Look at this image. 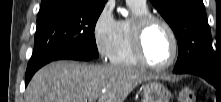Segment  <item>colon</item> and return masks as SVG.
Wrapping results in <instances>:
<instances>
[{
  "instance_id": "colon-1",
  "label": "colon",
  "mask_w": 221,
  "mask_h": 102,
  "mask_svg": "<svg viewBox=\"0 0 221 102\" xmlns=\"http://www.w3.org/2000/svg\"><path fill=\"white\" fill-rule=\"evenodd\" d=\"M179 102H195L196 97L193 90L190 88H184L179 93Z\"/></svg>"
}]
</instances>
